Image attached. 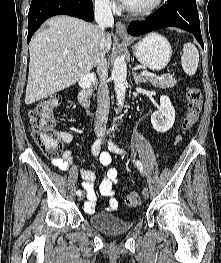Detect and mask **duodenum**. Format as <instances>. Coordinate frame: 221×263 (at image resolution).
Here are the masks:
<instances>
[{
  "label": "duodenum",
  "mask_w": 221,
  "mask_h": 263,
  "mask_svg": "<svg viewBox=\"0 0 221 263\" xmlns=\"http://www.w3.org/2000/svg\"><path fill=\"white\" fill-rule=\"evenodd\" d=\"M95 83H96V78L92 74L86 75L80 81V91L78 94V101L80 105L86 110H90L91 93Z\"/></svg>",
  "instance_id": "duodenum-1"
}]
</instances>
